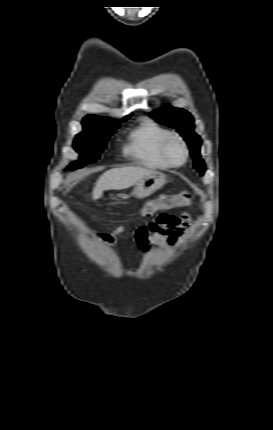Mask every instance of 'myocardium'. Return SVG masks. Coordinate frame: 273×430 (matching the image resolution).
<instances>
[{
	"label": "myocardium",
	"instance_id": "obj_1",
	"mask_svg": "<svg viewBox=\"0 0 273 430\" xmlns=\"http://www.w3.org/2000/svg\"><path fill=\"white\" fill-rule=\"evenodd\" d=\"M173 140L178 141L181 144L182 149H183V156H182L181 160L178 162L173 161L168 154V146H169L170 142ZM160 152H161V156L164 159V161L168 165H170L171 167L182 166L183 164L186 163V161L188 160V157H189V149H188L187 143H186L185 139L177 133H170L164 138V140L162 141V144H161Z\"/></svg>",
	"mask_w": 273,
	"mask_h": 430
}]
</instances>
